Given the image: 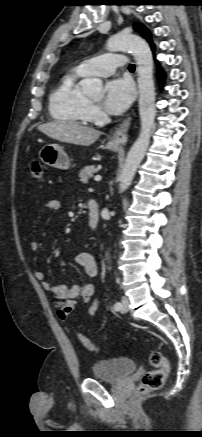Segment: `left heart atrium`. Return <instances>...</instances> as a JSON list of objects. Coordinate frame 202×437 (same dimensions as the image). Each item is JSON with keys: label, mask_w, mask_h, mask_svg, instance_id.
<instances>
[{"label": "left heart atrium", "mask_w": 202, "mask_h": 437, "mask_svg": "<svg viewBox=\"0 0 202 437\" xmlns=\"http://www.w3.org/2000/svg\"><path fill=\"white\" fill-rule=\"evenodd\" d=\"M103 105L107 112L120 114L125 111L134 98V87L125 78L112 79L106 84Z\"/></svg>", "instance_id": "39dd6f15"}]
</instances>
